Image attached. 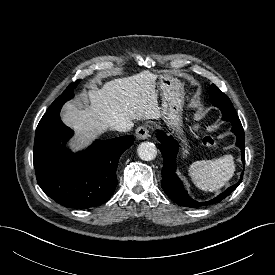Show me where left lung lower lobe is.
<instances>
[{
    "mask_svg": "<svg viewBox=\"0 0 275 275\" xmlns=\"http://www.w3.org/2000/svg\"><path fill=\"white\" fill-rule=\"evenodd\" d=\"M220 110L229 112L228 121L232 123V132L236 135L237 141L236 146L241 149L242 162L245 163V146H244V130L239 119L232 118L235 113L233 109L229 107L221 106ZM157 139L161 142L160 151L162 152L164 165L162 169V182L161 186L167 196L175 201L181 206L198 208L202 206H207L210 204L218 203L228 197L240 184L242 180V175L240 180L227 188L223 193L218 195L216 198L207 202H197L193 200L184 190L183 184L177 177L176 171V156L179 150V144L172 136H167L163 131L157 132Z\"/></svg>",
    "mask_w": 275,
    "mask_h": 275,
    "instance_id": "0a47b994",
    "label": "left lung lower lobe"
}]
</instances>
